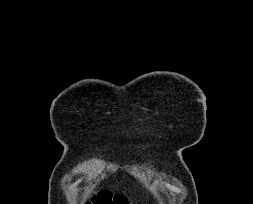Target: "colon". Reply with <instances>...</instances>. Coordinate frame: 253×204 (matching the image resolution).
Masks as SVG:
<instances>
[{
  "mask_svg": "<svg viewBox=\"0 0 253 204\" xmlns=\"http://www.w3.org/2000/svg\"><path fill=\"white\" fill-rule=\"evenodd\" d=\"M85 204H127L121 197L113 196L108 191H100Z\"/></svg>",
  "mask_w": 253,
  "mask_h": 204,
  "instance_id": "colon-1",
  "label": "colon"
}]
</instances>
